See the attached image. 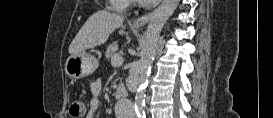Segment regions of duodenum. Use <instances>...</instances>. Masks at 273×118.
<instances>
[{
	"instance_id": "1",
	"label": "duodenum",
	"mask_w": 273,
	"mask_h": 118,
	"mask_svg": "<svg viewBox=\"0 0 273 118\" xmlns=\"http://www.w3.org/2000/svg\"><path fill=\"white\" fill-rule=\"evenodd\" d=\"M128 95V90L125 85L123 84H118L116 89H115V96L121 100L125 98Z\"/></svg>"
}]
</instances>
